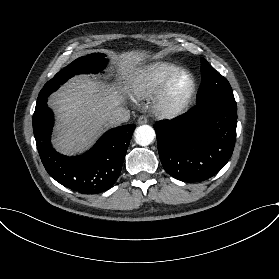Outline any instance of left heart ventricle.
<instances>
[{"label":"left heart ventricle","mask_w":279,"mask_h":279,"mask_svg":"<svg viewBox=\"0 0 279 279\" xmlns=\"http://www.w3.org/2000/svg\"><path fill=\"white\" fill-rule=\"evenodd\" d=\"M190 88V79L187 75H181L173 85L172 98L173 100H179L186 95Z\"/></svg>","instance_id":"left-heart-ventricle-1"}]
</instances>
